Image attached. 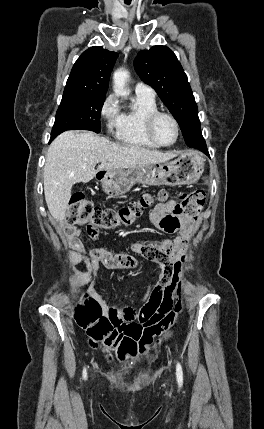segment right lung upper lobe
<instances>
[{
  "label": "right lung upper lobe",
  "mask_w": 264,
  "mask_h": 429,
  "mask_svg": "<svg viewBox=\"0 0 264 429\" xmlns=\"http://www.w3.org/2000/svg\"><path fill=\"white\" fill-rule=\"evenodd\" d=\"M117 57L116 52L100 46L84 51L71 70L64 94L105 96Z\"/></svg>",
  "instance_id": "cb5924a9"
}]
</instances>
